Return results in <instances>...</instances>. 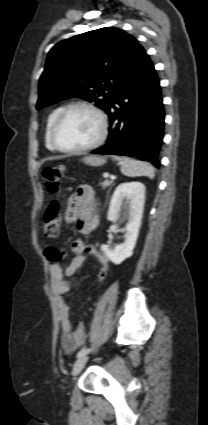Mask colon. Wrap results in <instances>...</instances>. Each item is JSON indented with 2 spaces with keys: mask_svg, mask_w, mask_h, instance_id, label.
<instances>
[{
  "mask_svg": "<svg viewBox=\"0 0 208 425\" xmlns=\"http://www.w3.org/2000/svg\"><path fill=\"white\" fill-rule=\"evenodd\" d=\"M65 168L62 166L47 167L43 170V179L47 190L55 195L60 191L62 180L64 177ZM60 203L53 200L44 215V234L48 238H55L60 231ZM45 255L52 262H60L65 253L57 248H48L45 250ZM109 268L106 266L100 267L97 274V281L102 282L106 279Z\"/></svg>",
  "mask_w": 208,
  "mask_h": 425,
  "instance_id": "obj_1",
  "label": "colon"
}]
</instances>
